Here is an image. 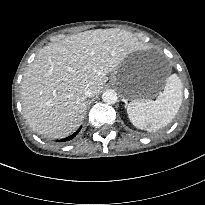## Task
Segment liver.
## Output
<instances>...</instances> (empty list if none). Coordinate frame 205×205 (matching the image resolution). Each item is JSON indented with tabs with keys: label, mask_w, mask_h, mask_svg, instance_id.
Wrapping results in <instances>:
<instances>
[{
	"label": "liver",
	"mask_w": 205,
	"mask_h": 205,
	"mask_svg": "<svg viewBox=\"0 0 205 205\" xmlns=\"http://www.w3.org/2000/svg\"><path fill=\"white\" fill-rule=\"evenodd\" d=\"M136 38L120 29L81 32L43 47L23 75L21 100L30 127L45 137H67L86 112L83 89L97 95L128 54Z\"/></svg>",
	"instance_id": "6515ba94"
}]
</instances>
